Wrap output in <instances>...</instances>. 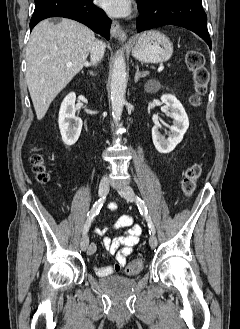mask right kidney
<instances>
[{"mask_svg":"<svg viewBox=\"0 0 240 329\" xmlns=\"http://www.w3.org/2000/svg\"><path fill=\"white\" fill-rule=\"evenodd\" d=\"M75 93H69L63 100L59 111V129L65 145L75 144L80 136L82 120L75 116Z\"/></svg>","mask_w":240,"mask_h":329,"instance_id":"obj_1","label":"right kidney"}]
</instances>
